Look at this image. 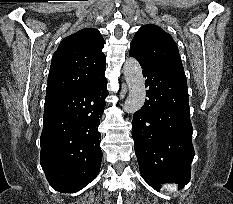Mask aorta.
<instances>
[{"instance_id":"762f6f07","label":"aorta","mask_w":233,"mask_h":204,"mask_svg":"<svg viewBox=\"0 0 233 204\" xmlns=\"http://www.w3.org/2000/svg\"><path fill=\"white\" fill-rule=\"evenodd\" d=\"M123 71L129 89L123 109L127 113H134L142 108L146 97L142 68L135 58L129 57L125 61Z\"/></svg>"}]
</instances>
